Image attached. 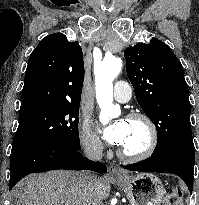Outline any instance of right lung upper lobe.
Here are the masks:
<instances>
[{
  "mask_svg": "<svg viewBox=\"0 0 199 205\" xmlns=\"http://www.w3.org/2000/svg\"><path fill=\"white\" fill-rule=\"evenodd\" d=\"M84 81L82 49L62 33L43 38L31 53L20 111L41 105L80 104Z\"/></svg>",
  "mask_w": 199,
  "mask_h": 205,
  "instance_id": "1",
  "label": "right lung upper lobe"
}]
</instances>
